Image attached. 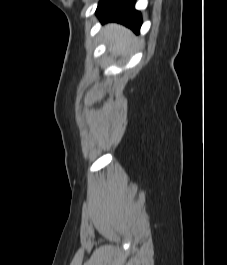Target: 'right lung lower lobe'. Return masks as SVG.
Returning <instances> with one entry per match:
<instances>
[{
    "label": "right lung lower lobe",
    "instance_id": "obj_1",
    "mask_svg": "<svg viewBox=\"0 0 227 265\" xmlns=\"http://www.w3.org/2000/svg\"><path fill=\"white\" fill-rule=\"evenodd\" d=\"M135 0H108L98 11L102 22L116 21L139 32L142 24L141 13L134 9Z\"/></svg>",
    "mask_w": 227,
    "mask_h": 265
}]
</instances>
